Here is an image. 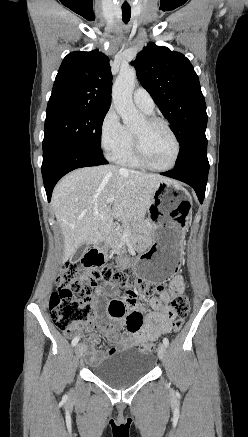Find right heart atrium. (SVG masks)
Listing matches in <instances>:
<instances>
[{
	"label": "right heart atrium",
	"mask_w": 248,
	"mask_h": 437,
	"mask_svg": "<svg viewBox=\"0 0 248 437\" xmlns=\"http://www.w3.org/2000/svg\"><path fill=\"white\" fill-rule=\"evenodd\" d=\"M129 132L122 125L119 115L110 108L104 115L100 125V144L105 154L116 159L128 146Z\"/></svg>",
	"instance_id": "right-heart-atrium-1"
}]
</instances>
